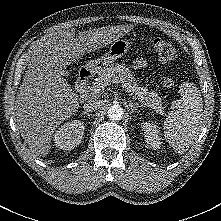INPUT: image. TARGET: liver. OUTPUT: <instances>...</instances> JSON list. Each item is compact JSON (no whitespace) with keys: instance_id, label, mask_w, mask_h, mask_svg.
Here are the masks:
<instances>
[{"instance_id":"liver-1","label":"liver","mask_w":221,"mask_h":221,"mask_svg":"<svg viewBox=\"0 0 221 221\" xmlns=\"http://www.w3.org/2000/svg\"><path fill=\"white\" fill-rule=\"evenodd\" d=\"M131 29L130 25L102 27L77 35L74 29L60 30L36 45L15 101L20 134L33 154L47 156L56 129L80 107L78 94L63 78V68Z\"/></svg>"}]
</instances>
